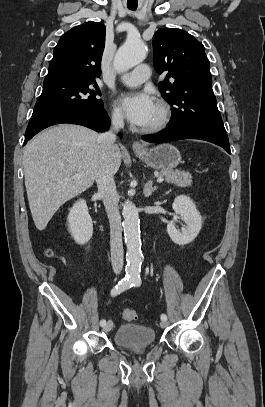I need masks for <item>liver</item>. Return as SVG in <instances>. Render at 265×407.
<instances>
[{"label": "liver", "instance_id": "liver-1", "mask_svg": "<svg viewBox=\"0 0 265 407\" xmlns=\"http://www.w3.org/2000/svg\"><path fill=\"white\" fill-rule=\"evenodd\" d=\"M98 136L97 132L80 125L61 124L39 133L26 145L25 186L38 230L46 228L65 202L93 185L101 163ZM121 158L115 145L109 157L114 174L119 170Z\"/></svg>", "mask_w": 265, "mask_h": 407}]
</instances>
